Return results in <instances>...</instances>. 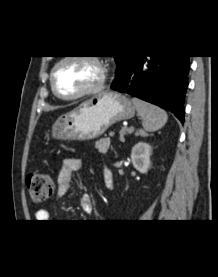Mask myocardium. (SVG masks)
<instances>
[{
    "label": "myocardium",
    "instance_id": "1",
    "mask_svg": "<svg viewBox=\"0 0 218 277\" xmlns=\"http://www.w3.org/2000/svg\"><path fill=\"white\" fill-rule=\"evenodd\" d=\"M69 61H84L86 63H89L91 66H93L96 69L97 77L90 86L80 91L79 93L72 96H64L59 93V91L55 86V74L59 67H61L63 64ZM106 78H107V69L98 57L91 56V55H66L61 57L53 65L50 73V85L54 95L57 96L59 99H62L65 101H73V100H77L100 92L104 88Z\"/></svg>",
    "mask_w": 218,
    "mask_h": 277
}]
</instances>
